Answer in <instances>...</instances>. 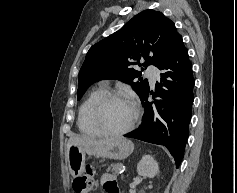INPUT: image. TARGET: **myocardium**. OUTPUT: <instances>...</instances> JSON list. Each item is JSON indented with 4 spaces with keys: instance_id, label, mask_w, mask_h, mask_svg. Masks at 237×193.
Here are the masks:
<instances>
[{
    "instance_id": "myocardium-1",
    "label": "myocardium",
    "mask_w": 237,
    "mask_h": 193,
    "mask_svg": "<svg viewBox=\"0 0 237 193\" xmlns=\"http://www.w3.org/2000/svg\"><path fill=\"white\" fill-rule=\"evenodd\" d=\"M111 99H120V100H125L128 101L129 103L132 104L133 108H134V115H133V119L130 122V124L125 127L122 130L119 131H112V130H108L106 128H104L100 122H99V111L102 107V105ZM140 105L137 102V100H135L133 97L131 96H127L123 93L120 92H116V91H105L102 94H100L96 100L93 102L91 108H90V113H89V117H90V121L92 123V125L94 126V128L103 136H110V137H119V136H123L127 133H129L137 124L139 117H140Z\"/></svg>"
}]
</instances>
